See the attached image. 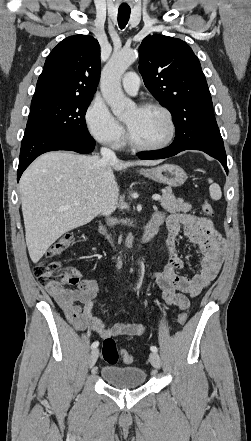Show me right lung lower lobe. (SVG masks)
<instances>
[{
  "label": "right lung lower lobe",
  "instance_id": "98d812e1",
  "mask_svg": "<svg viewBox=\"0 0 251 441\" xmlns=\"http://www.w3.org/2000/svg\"><path fill=\"white\" fill-rule=\"evenodd\" d=\"M94 146L95 140L91 136H73L41 125H27L21 143L17 181L29 164L45 152L71 150L87 154L93 151Z\"/></svg>",
  "mask_w": 251,
  "mask_h": 441
}]
</instances>
